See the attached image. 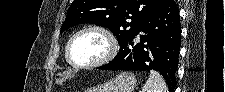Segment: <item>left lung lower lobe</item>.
I'll list each match as a JSON object with an SVG mask.
<instances>
[{
  "mask_svg": "<svg viewBox=\"0 0 225 92\" xmlns=\"http://www.w3.org/2000/svg\"><path fill=\"white\" fill-rule=\"evenodd\" d=\"M139 32L140 42L134 39ZM181 46L179 10L174 0H166L138 27L136 33L120 46L119 53L108 64L107 70H156L174 91L176 70Z\"/></svg>",
  "mask_w": 225,
  "mask_h": 92,
  "instance_id": "obj_1",
  "label": "left lung lower lobe"
}]
</instances>
